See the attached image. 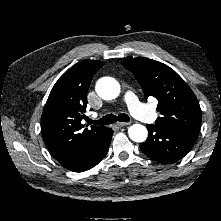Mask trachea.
<instances>
[{
	"label": "trachea",
	"instance_id": "obj_1",
	"mask_svg": "<svg viewBox=\"0 0 221 221\" xmlns=\"http://www.w3.org/2000/svg\"><path fill=\"white\" fill-rule=\"evenodd\" d=\"M120 122H129L130 118L127 114L121 113L118 116L113 114H108L104 117H102L99 120L93 121L92 119H88L89 124H95V125H109L116 121Z\"/></svg>",
	"mask_w": 221,
	"mask_h": 221
}]
</instances>
